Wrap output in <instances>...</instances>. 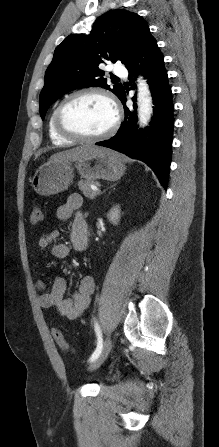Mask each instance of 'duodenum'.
<instances>
[{"mask_svg":"<svg viewBox=\"0 0 219 447\" xmlns=\"http://www.w3.org/2000/svg\"><path fill=\"white\" fill-rule=\"evenodd\" d=\"M85 235H87V230L86 229H85ZM86 245H87V237L85 238L84 248L86 247Z\"/></svg>","mask_w":219,"mask_h":447,"instance_id":"duodenum-1","label":"duodenum"}]
</instances>
